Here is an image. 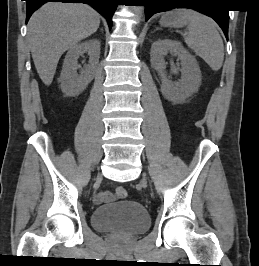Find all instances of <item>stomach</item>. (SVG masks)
<instances>
[{
  "mask_svg": "<svg viewBox=\"0 0 259 266\" xmlns=\"http://www.w3.org/2000/svg\"><path fill=\"white\" fill-rule=\"evenodd\" d=\"M181 10H172L164 13L161 17L160 24L164 27H182L188 23L180 14Z\"/></svg>",
  "mask_w": 259,
  "mask_h": 266,
  "instance_id": "1",
  "label": "stomach"
}]
</instances>
